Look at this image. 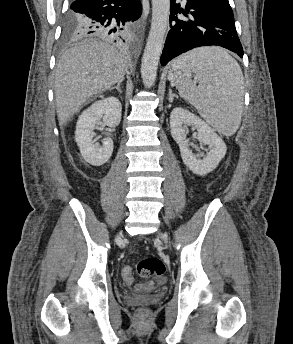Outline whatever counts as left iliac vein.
Returning a JSON list of instances; mask_svg holds the SVG:
<instances>
[{
	"label": "left iliac vein",
	"instance_id": "4c4485c4",
	"mask_svg": "<svg viewBox=\"0 0 293 344\" xmlns=\"http://www.w3.org/2000/svg\"><path fill=\"white\" fill-rule=\"evenodd\" d=\"M158 236L163 240L165 244H167V236L161 232L158 233Z\"/></svg>",
	"mask_w": 293,
	"mask_h": 344
}]
</instances>
